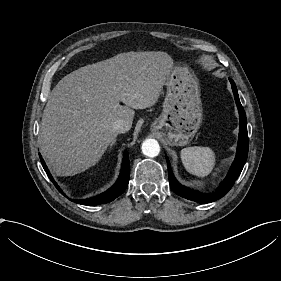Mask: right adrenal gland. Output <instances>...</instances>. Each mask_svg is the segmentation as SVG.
<instances>
[{"mask_svg": "<svg viewBox=\"0 0 281 281\" xmlns=\"http://www.w3.org/2000/svg\"><path fill=\"white\" fill-rule=\"evenodd\" d=\"M117 142V138H114L109 146V149L107 150L108 152H110L113 149V146L116 144Z\"/></svg>", "mask_w": 281, "mask_h": 281, "instance_id": "2a0ac1e0", "label": "right adrenal gland"}]
</instances>
